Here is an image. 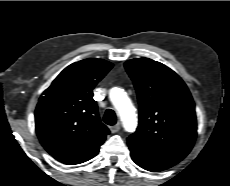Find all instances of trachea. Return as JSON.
Returning <instances> with one entry per match:
<instances>
[{"label":"trachea","instance_id":"3493384b","mask_svg":"<svg viewBox=\"0 0 230 186\" xmlns=\"http://www.w3.org/2000/svg\"><path fill=\"white\" fill-rule=\"evenodd\" d=\"M103 121L107 125H115L117 121L115 112L111 109L106 110L104 117H103Z\"/></svg>","mask_w":230,"mask_h":186}]
</instances>
